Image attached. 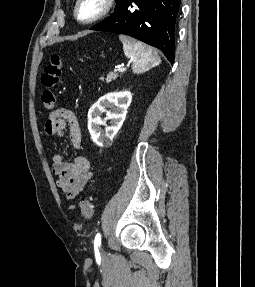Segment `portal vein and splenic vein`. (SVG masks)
Segmentation results:
<instances>
[{
  "label": "portal vein and splenic vein",
  "mask_w": 255,
  "mask_h": 287,
  "mask_svg": "<svg viewBox=\"0 0 255 287\" xmlns=\"http://www.w3.org/2000/svg\"><path fill=\"white\" fill-rule=\"evenodd\" d=\"M124 64L122 66H118L117 70L118 72H126V68H123Z\"/></svg>",
  "instance_id": "18ae733b"
}]
</instances>
